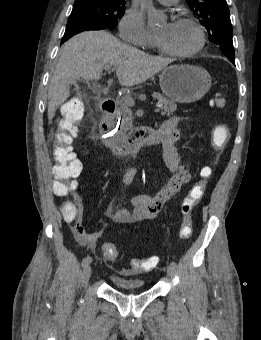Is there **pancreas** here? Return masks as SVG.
<instances>
[{"instance_id":"cf45deb5","label":"pancreas","mask_w":261,"mask_h":340,"mask_svg":"<svg viewBox=\"0 0 261 340\" xmlns=\"http://www.w3.org/2000/svg\"><path fill=\"white\" fill-rule=\"evenodd\" d=\"M152 96L153 98L158 100L159 104H161L162 109L161 115L170 116L173 112L176 111L177 105L173 101L167 99L160 93H153ZM120 114L122 117V122L118 134L122 136L133 127L132 112L126 103L122 104Z\"/></svg>"}]
</instances>
